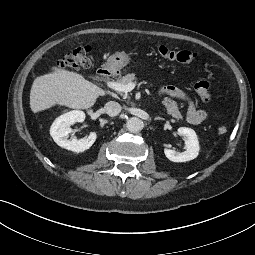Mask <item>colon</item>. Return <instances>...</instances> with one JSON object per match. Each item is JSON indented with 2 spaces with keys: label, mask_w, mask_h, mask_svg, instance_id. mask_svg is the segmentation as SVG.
Instances as JSON below:
<instances>
[{
  "label": "colon",
  "mask_w": 255,
  "mask_h": 255,
  "mask_svg": "<svg viewBox=\"0 0 255 255\" xmlns=\"http://www.w3.org/2000/svg\"><path fill=\"white\" fill-rule=\"evenodd\" d=\"M157 51L163 59L180 63H193L202 57V55L193 51L174 50L165 45H158ZM93 58V48L91 46H82L60 60L58 67L64 69L87 68L92 64ZM194 88L204 103L208 104L212 101V96L209 92V83L205 78L200 77L196 81ZM227 131L228 128L225 125L218 127L219 134H226Z\"/></svg>",
  "instance_id": "5ec220e1"
}]
</instances>
